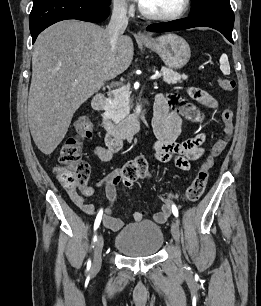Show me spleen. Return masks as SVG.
I'll list each match as a JSON object with an SVG mask.
<instances>
[{"mask_svg":"<svg viewBox=\"0 0 261 306\" xmlns=\"http://www.w3.org/2000/svg\"><path fill=\"white\" fill-rule=\"evenodd\" d=\"M220 69L223 72L224 75H229L230 74V65L228 61V57L226 54H222L220 57Z\"/></svg>","mask_w":261,"mask_h":306,"instance_id":"spleen-1","label":"spleen"}]
</instances>
